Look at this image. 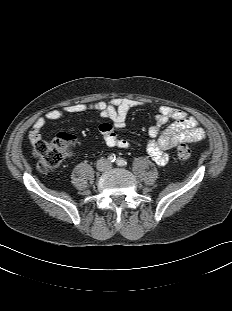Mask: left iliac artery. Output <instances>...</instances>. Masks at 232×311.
Returning a JSON list of instances; mask_svg holds the SVG:
<instances>
[{
	"mask_svg": "<svg viewBox=\"0 0 232 311\" xmlns=\"http://www.w3.org/2000/svg\"><path fill=\"white\" fill-rule=\"evenodd\" d=\"M116 163H117V165H119V166H126V165H127V161L124 160V159H122V158H118V159L116 160Z\"/></svg>",
	"mask_w": 232,
	"mask_h": 311,
	"instance_id": "44dca946",
	"label": "left iliac artery"
}]
</instances>
